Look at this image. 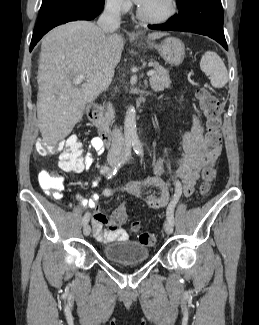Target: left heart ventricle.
I'll return each mask as SVG.
<instances>
[{"label": "left heart ventricle", "instance_id": "b2bd125f", "mask_svg": "<svg viewBox=\"0 0 259 325\" xmlns=\"http://www.w3.org/2000/svg\"><path fill=\"white\" fill-rule=\"evenodd\" d=\"M142 7L150 15H160L165 12L167 5L166 0H149Z\"/></svg>", "mask_w": 259, "mask_h": 325}]
</instances>
